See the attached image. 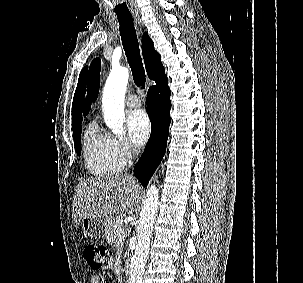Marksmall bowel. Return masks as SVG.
<instances>
[{"instance_id": "small-bowel-1", "label": "small bowel", "mask_w": 303, "mask_h": 283, "mask_svg": "<svg viewBox=\"0 0 303 283\" xmlns=\"http://www.w3.org/2000/svg\"><path fill=\"white\" fill-rule=\"evenodd\" d=\"M115 265H116L115 260L111 259L106 265L105 269L107 270L114 269ZM90 283H102L101 277L99 275H94L93 277H91Z\"/></svg>"}]
</instances>
